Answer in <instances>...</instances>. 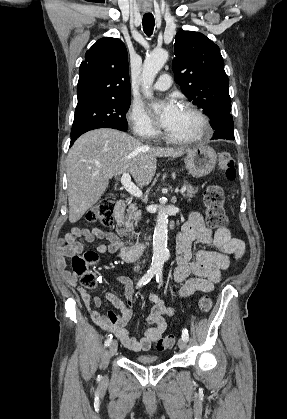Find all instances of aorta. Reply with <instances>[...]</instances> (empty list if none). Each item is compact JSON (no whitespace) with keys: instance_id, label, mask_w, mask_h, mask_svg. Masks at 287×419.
Listing matches in <instances>:
<instances>
[{"instance_id":"1","label":"aorta","mask_w":287,"mask_h":419,"mask_svg":"<svg viewBox=\"0 0 287 419\" xmlns=\"http://www.w3.org/2000/svg\"><path fill=\"white\" fill-rule=\"evenodd\" d=\"M168 59V52L164 49L153 50L145 59L141 74L142 91L146 98H152L151 86L157 73ZM168 214L162 207L157 216V222L153 234V256L150 270L161 271L164 263L169 259L170 253L167 248Z\"/></svg>"}]
</instances>
